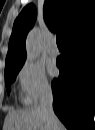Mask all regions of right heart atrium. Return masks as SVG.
Wrapping results in <instances>:
<instances>
[{
    "label": "right heart atrium",
    "mask_w": 95,
    "mask_h": 130,
    "mask_svg": "<svg viewBox=\"0 0 95 130\" xmlns=\"http://www.w3.org/2000/svg\"><path fill=\"white\" fill-rule=\"evenodd\" d=\"M18 81L27 103H35L51 92V84L44 67L36 62L24 63L18 73Z\"/></svg>",
    "instance_id": "1"
}]
</instances>
